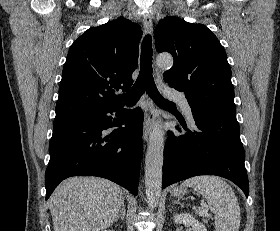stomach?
Segmentation results:
<instances>
[{
	"label": "stomach",
	"instance_id": "0dacf381",
	"mask_svg": "<svg viewBox=\"0 0 280 231\" xmlns=\"http://www.w3.org/2000/svg\"><path fill=\"white\" fill-rule=\"evenodd\" d=\"M187 191L184 189V187H174L171 191V195L173 197H183V195H186Z\"/></svg>",
	"mask_w": 280,
	"mask_h": 231
}]
</instances>
